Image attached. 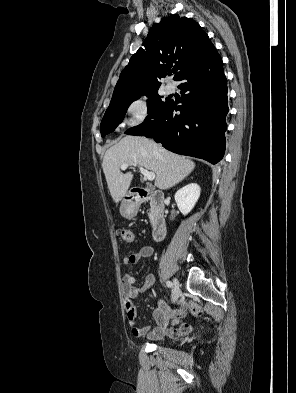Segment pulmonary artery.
I'll use <instances>...</instances> for the list:
<instances>
[{
	"label": "pulmonary artery",
	"mask_w": 296,
	"mask_h": 393,
	"mask_svg": "<svg viewBox=\"0 0 296 393\" xmlns=\"http://www.w3.org/2000/svg\"><path fill=\"white\" fill-rule=\"evenodd\" d=\"M173 91H174V86H173L172 84H167V85L165 86V92H166L167 94H171Z\"/></svg>",
	"instance_id": "e3ab8cb5"
}]
</instances>
